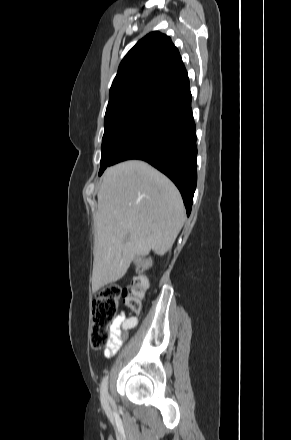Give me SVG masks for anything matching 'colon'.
I'll list each match as a JSON object with an SVG mask.
<instances>
[{"label": "colon", "mask_w": 291, "mask_h": 440, "mask_svg": "<svg viewBox=\"0 0 291 440\" xmlns=\"http://www.w3.org/2000/svg\"><path fill=\"white\" fill-rule=\"evenodd\" d=\"M154 261H142L144 268L152 267ZM148 289V280L144 275L133 276L127 287L117 285L103 287L92 303L89 339L92 348H106L110 343V326L115 320L118 300L123 298L127 308L134 314L142 310V301Z\"/></svg>", "instance_id": "colon-1"}]
</instances>
